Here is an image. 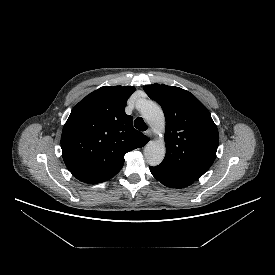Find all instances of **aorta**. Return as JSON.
I'll return each instance as SVG.
<instances>
[{"label":"aorta","instance_id":"1","mask_svg":"<svg viewBox=\"0 0 275 275\" xmlns=\"http://www.w3.org/2000/svg\"><path fill=\"white\" fill-rule=\"evenodd\" d=\"M140 112L156 134H162L164 132L165 117L158 104L153 101H145ZM165 152L164 140L157 139L147 143L144 149V156L149 165L157 166L163 161Z\"/></svg>","mask_w":275,"mask_h":275}]
</instances>
